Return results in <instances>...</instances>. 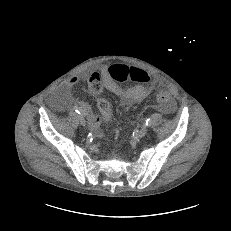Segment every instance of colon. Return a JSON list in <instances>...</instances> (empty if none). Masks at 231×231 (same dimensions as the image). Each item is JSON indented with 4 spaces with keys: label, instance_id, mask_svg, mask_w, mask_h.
Returning <instances> with one entry per match:
<instances>
[{
    "label": "colon",
    "instance_id": "5ec220e1",
    "mask_svg": "<svg viewBox=\"0 0 231 231\" xmlns=\"http://www.w3.org/2000/svg\"><path fill=\"white\" fill-rule=\"evenodd\" d=\"M108 74L111 80L115 83L132 80L136 82H146L148 75L140 68L129 66L125 64H113L108 69ZM91 90L100 95L103 90V84L100 79H96L91 83ZM157 100L161 103L170 101V95L166 91H161L157 94ZM98 107L102 113V117L106 123L112 120V111L109 101L103 97H99Z\"/></svg>",
    "mask_w": 231,
    "mask_h": 231
}]
</instances>
